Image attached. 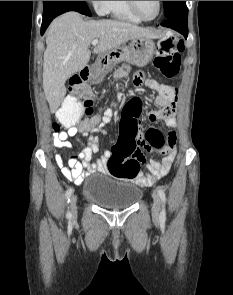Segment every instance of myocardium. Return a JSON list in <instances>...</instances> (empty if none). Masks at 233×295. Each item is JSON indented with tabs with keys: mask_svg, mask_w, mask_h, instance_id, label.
<instances>
[{
	"mask_svg": "<svg viewBox=\"0 0 233 295\" xmlns=\"http://www.w3.org/2000/svg\"><path fill=\"white\" fill-rule=\"evenodd\" d=\"M128 2V5H129V8L130 10L132 11V13L138 17L141 21H145V22H150V21H153L155 20L156 18H158V16L160 15L161 13V8H162V2L161 1H157V4H158V9H157V12L156 14L152 17V18H145L143 17L138 9H137V5H136V1H127Z\"/></svg>",
	"mask_w": 233,
	"mask_h": 295,
	"instance_id": "f54148a6",
	"label": "myocardium"
}]
</instances>
